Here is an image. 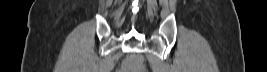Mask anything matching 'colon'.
Segmentation results:
<instances>
[{
    "label": "colon",
    "mask_w": 267,
    "mask_h": 72,
    "mask_svg": "<svg viewBox=\"0 0 267 72\" xmlns=\"http://www.w3.org/2000/svg\"><path fill=\"white\" fill-rule=\"evenodd\" d=\"M120 72H133L132 66L130 63H126L122 69L120 70Z\"/></svg>",
    "instance_id": "obj_1"
}]
</instances>
